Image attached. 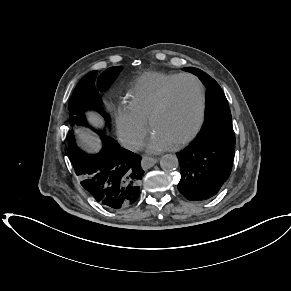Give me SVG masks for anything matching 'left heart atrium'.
I'll list each match as a JSON object with an SVG mask.
<instances>
[{"instance_id": "left-heart-atrium-1", "label": "left heart atrium", "mask_w": 291, "mask_h": 291, "mask_svg": "<svg viewBox=\"0 0 291 291\" xmlns=\"http://www.w3.org/2000/svg\"><path fill=\"white\" fill-rule=\"evenodd\" d=\"M170 147H172V143L170 141L154 132L151 135L147 145L148 151L151 153L161 152Z\"/></svg>"}]
</instances>
